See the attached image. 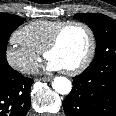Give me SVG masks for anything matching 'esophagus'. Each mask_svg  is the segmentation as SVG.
<instances>
[{
    "mask_svg": "<svg viewBox=\"0 0 116 116\" xmlns=\"http://www.w3.org/2000/svg\"><path fill=\"white\" fill-rule=\"evenodd\" d=\"M40 80L44 81V82H49L51 80V78L50 77H43Z\"/></svg>",
    "mask_w": 116,
    "mask_h": 116,
    "instance_id": "obj_1",
    "label": "esophagus"
}]
</instances>
